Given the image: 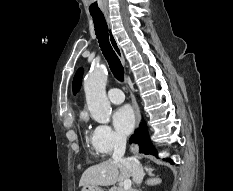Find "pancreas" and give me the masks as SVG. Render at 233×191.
<instances>
[{
	"mask_svg": "<svg viewBox=\"0 0 233 191\" xmlns=\"http://www.w3.org/2000/svg\"><path fill=\"white\" fill-rule=\"evenodd\" d=\"M109 191H124V189L120 186H114ZM128 191H133V190L129 189Z\"/></svg>",
	"mask_w": 233,
	"mask_h": 191,
	"instance_id": "pancreas-1",
	"label": "pancreas"
}]
</instances>
